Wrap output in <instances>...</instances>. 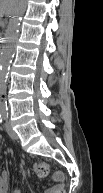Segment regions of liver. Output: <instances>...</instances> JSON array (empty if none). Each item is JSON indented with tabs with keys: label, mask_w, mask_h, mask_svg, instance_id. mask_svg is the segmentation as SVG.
<instances>
[{
	"label": "liver",
	"mask_w": 103,
	"mask_h": 193,
	"mask_svg": "<svg viewBox=\"0 0 103 193\" xmlns=\"http://www.w3.org/2000/svg\"><path fill=\"white\" fill-rule=\"evenodd\" d=\"M14 0H1L0 1V13L1 15H10L14 7Z\"/></svg>",
	"instance_id": "6515ba94"
}]
</instances>
